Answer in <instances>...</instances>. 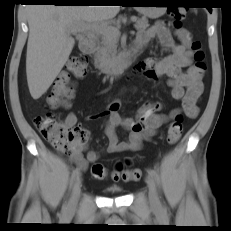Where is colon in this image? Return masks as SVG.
Returning <instances> with one entry per match:
<instances>
[{
    "label": "colon",
    "mask_w": 231,
    "mask_h": 231,
    "mask_svg": "<svg viewBox=\"0 0 231 231\" xmlns=\"http://www.w3.org/2000/svg\"><path fill=\"white\" fill-rule=\"evenodd\" d=\"M186 10L183 7L173 8L170 10V17L174 27L179 28L184 20ZM193 50V59L195 68L199 72L206 70L205 53L199 41L191 43ZM88 61L85 56L79 55L71 57L65 71L55 81L52 93L48 97V104L51 108H59L65 106L72 97V78H83L87 74ZM34 125L41 136L50 141L51 144L58 149H69L72 145L83 141L87 132L82 127H71L63 122L57 121L51 113L37 116ZM183 123L182 117L177 116L169 125L167 130V141L169 144L177 143L182 135ZM91 175L94 179L102 180L107 176V170L101 163H95L91 168ZM141 178V171L138 169L125 170L118 165L112 173L114 181H137Z\"/></svg>",
    "instance_id": "5ec220e1"
}]
</instances>
